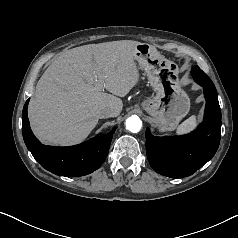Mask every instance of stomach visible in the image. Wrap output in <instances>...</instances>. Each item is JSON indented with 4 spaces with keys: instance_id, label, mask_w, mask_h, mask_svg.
I'll use <instances>...</instances> for the list:
<instances>
[{
    "instance_id": "obj_1",
    "label": "stomach",
    "mask_w": 238,
    "mask_h": 238,
    "mask_svg": "<svg viewBox=\"0 0 238 238\" xmlns=\"http://www.w3.org/2000/svg\"><path fill=\"white\" fill-rule=\"evenodd\" d=\"M134 57L156 93L153 98L142 102V108L153 118L159 130H174L190 109V99L178 78V65L147 43L134 47Z\"/></svg>"
}]
</instances>
